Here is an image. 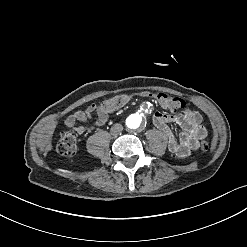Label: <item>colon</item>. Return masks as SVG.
Returning a JSON list of instances; mask_svg holds the SVG:
<instances>
[{
    "mask_svg": "<svg viewBox=\"0 0 247 247\" xmlns=\"http://www.w3.org/2000/svg\"><path fill=\"white\" fill-rule=\"evenodd\" d=\"M143 95L145 97H150L152 95V90L150 88H145L143 90ZM140 96L138 93L129 92H116L114 96H110L105 102L106 109H120L122 105H125L127 101L132 100ZM153 98L157 101H161L160 106L162 109H171L179 112L184 104L181 100L174 97H169L168 92H157L153 95ZM56 151L64 157H73L77 151V138L71 133H63L57 143ZM201 151L204 154H208L211 151L210 144L208 142L201 143Z\"/></svg>",
    "mask_w": 247,
    "mask_h": 247,
    "instance_id": "1",
    "label": "colon"
}]
</instances>
